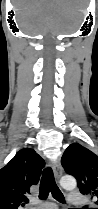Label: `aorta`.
Wrapping results in <instances>:
<instances>
[{
    "label": "aorta",
    "mask_w": 98,
    "mask_h": 209,
    "mask_svg": "<svg viewBox=\"0 0 98 209\" xmlns=\"http://www.w3.org/2000/svg\"><path fill=\"white\" fill-rule=\"evenodd\" d=\"M60 185L65 190H73L77 186V182L72 176H63L60 179Z\"/></svg>",
    "instance_id": "aorta-1"
}]
</instances>
